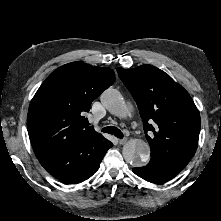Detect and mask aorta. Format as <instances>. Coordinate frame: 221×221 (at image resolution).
<instances>
[{
    "mask_svg": "<svg viewBox=\"0 0 221 221\" xmlns=\"http://www.w3.org/2000/svg\"><path fill=\"white\" fill-rule=\"evenodd\" d=\"M100 100L103 106L112 114L119 117L126 115V104L118 90L108 88L101 94ZM122 154L127 163L142 166L149 159L150 147L143 140H129L123 146Z\"/></svg>",
    "mask_w": 221,
    "mask_h": 221,
    "instance_id": "762f6f07",
    "label": "aorta"
}]
</instances>
